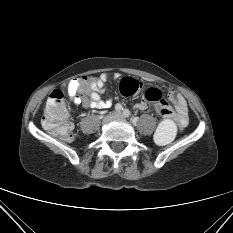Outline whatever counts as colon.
I'll list each match as a JSON object with an SVG mask.
<instances>
[{
	"mask_svg": "<svg viewBox=\"0 0 233 233\" xmlns=\"http://www.w3.org/2000/svg\"><path fill=\"white\" fill-rule=\"evenodd\" d=\"M85 79L88 84L90 82L89 78ZM140 88L141 83L132 78H125L120 83V91L125 96L137 93ZM144 98L151 102H159L162 100V93L157 88H149L145 91ZM161 114L164 120L156 130L155 141L159 145H166L174 140L177 128L173 121L172 110L169 107H163ZM42 122L43 126L51 133L67 141L72 139L73 127L68 120L62 91L55 89L50 93Z\"/></svg>",
	"mask_w": 233,
	"mask_h": 233,
	"instance_id": "obj_1",
	"label": "colon"
}]
</instances>
